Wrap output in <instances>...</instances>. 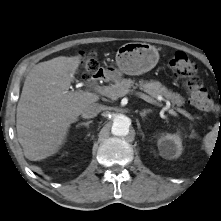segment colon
Returning a JSON list of instances; mask_svg holds the SVG:
<instances>
[{"mask_svg":"<svg viewBox=\"0 0 221 221\" xmlns=\"http://www.w3.org/2000/svg\"><path fill=\"white\" fill-rule=\"evenodd\" d=\"M173 73L183 80L185 90L189 95L191 104L200 111L211 112L216 104L197 76L196 64L183 52H176L170 60ZM84 79H88L99 70V63L95 53H87L82 61Z\"/></svg>","mask_w":221,"mask_h":221,"instance_id":"obj_1","label":"colon"}]
</instances>
